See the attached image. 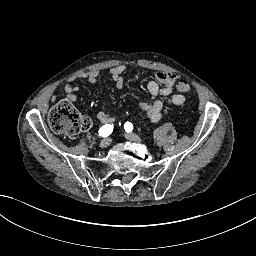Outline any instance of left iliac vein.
<instances>
[{"label":"left iliac vein","instance_id":"left-iliac-vein-1","mask_svg":"<svg viewBox=\"0 0 256 256\" xmlns=\"http://www.w3.org/2000/svg\"><path fill=\"white\" fill-rule=\"evenodd\" d=\"M124 137L127 139V140H130V141H136V142H140L141 139L139 138L138 135L136 134H133V133H126L124 135Z\"/></svg>","mask_w":256,"mask_h":256}]
</instances>
